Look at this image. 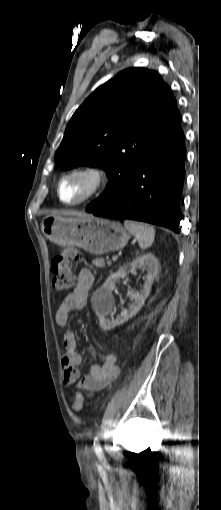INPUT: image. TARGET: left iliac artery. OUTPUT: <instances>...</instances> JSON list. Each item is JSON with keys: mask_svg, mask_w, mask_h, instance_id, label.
Returning <instances> with one entry per match:
<instances>
[{"mask_svg": "<svg viewBox=\"0 0 221 510\" xmlns=\"http://www.w3.org/2000/svg\"><path fill=\"white\" fill-rule=\"evenodd\" d=\"M94 449H95V452H96V453H100V452H102L101 446H100V444H99V438H98V436H96V437L94 438Z\"/></svg>", "mask_w": 221, "mask_h": 510, "instance_id": "left-iliac-artery-1", "label": "left iliac artery"}]
</instances>
